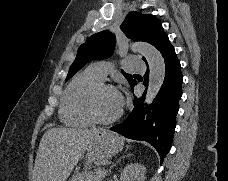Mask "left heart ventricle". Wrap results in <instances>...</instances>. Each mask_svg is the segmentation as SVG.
Listing matches in <instances>:
<instances>
[{"label":"left heart ventricle","instance_id":"1","mask_svg":"<svg viewBox=\"0 0 228 181\" xmlns=\"http://www.w3.org/2000/svg\"><path fill=\"white\" fill-rule=\"evenodd\" d=\"M118 98L114 89L101 91L97 99V109L104 117L114 115L118 109Z\"/></svg>","mask_w":228,"mask_h":181}]
</instances>
